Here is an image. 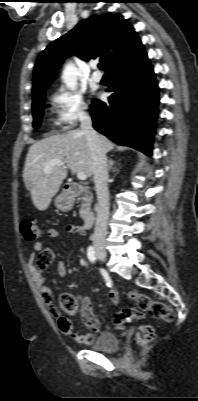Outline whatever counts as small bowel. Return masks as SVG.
Masks as SVG:
<instances>
[{
	"instance_id": "1",
	"label": "small bowel",
	"mask_w": 198,
	"mask_h": 401,
	"mask_svg": "<svg viewBox=\"0 0 198 401\" xmlns=\"http://www.w3.org/2000/svg\"><path fill=\"white\" fill-rule=\"evenodd\" d=\"M66 231L69 234L80 236L86 235L85 229L77 225L66 226ZM47 234L50 238H57L60 236L61 232L58 228L53 227L48 229ZM51 264L55 265L57 281L59 278L65 275L66 265L62 261H55L54 251L51 249H44L41 241H37L29 255L28 269L35 285L40 291L42 299L49 304L52 301L53 294L51 289L45 286V283L48 279L47 270ZM108 295L111 303L113 305H117L119 302V295L117 291L111 289L109 290ZM80 305L81 316L86 326L95 333H101V323L94 315L91 300L89 298H83L80 302ZM58 327L63 335L75 338L82 345H89L94 339L93 333H77L71 321L66 318L58 319Z\"/></svg>"
}]
</instances>
